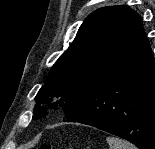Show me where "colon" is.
Returning <instances> with one entry per match:
<instances>
[{"label": "colon", "instance_id": "colon-1", "mask_svg": "<svg viewBox=\"0 0 155 149\" xmlns=\"http://www.w3.org/2000/svg\"><path fill=\"white\" fill-rule=\"evenodd\" d=\"M52 145L50 143H42L38 149H52Z\"/></svg>", "mask_w": 155, "mask_h": 149}]
</instances>
